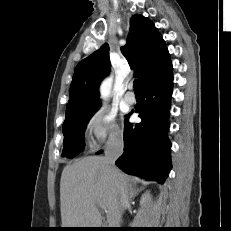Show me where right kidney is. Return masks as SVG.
<instances>
[{
	"label": "right kidney",
	"instance_id": "1",
	"mask_svg": "<svg viewBox=\"0 0 231 231\" xmlns=\"http://www.w3.org/2000/svg\"><path fill=\"white\" fill-rule=\"evenodd\" d=\"M149 200H150L149 192L144 193L140 200L141 206L145 207Z\"/></svg>",
	"mask_w": 231,
	"mask_h": 231
}]
</instances>
